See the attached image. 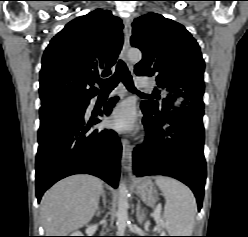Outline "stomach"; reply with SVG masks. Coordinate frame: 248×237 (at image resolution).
<instances>
[{"label": "stomach", "mask_w": 248, "mask_h": 237, "mask_svg": "<svg viewBox=\"0 0 248 237\" xmlns=\"http://www.w3.org/2000/svg\"><path fill=\"white\" fill-rule=\"evenodd\" d=\"M136 193L146 205L155 206L158 199L157 190L149 178H144L138 182Z\"/></svg>", "instance_id": "stomach-1"}]
</instances>
